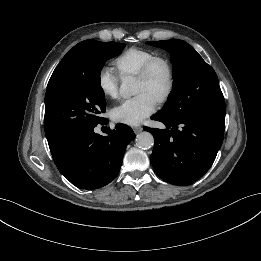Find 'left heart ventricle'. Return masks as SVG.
Wrapping results in <instances>:
<instances>
[{
  "label": "left heart ventricle",
  "instance_id": "left-heart-ventricle-1",
  "mask_svg": "<svg viewBox=\"0 0 261 261\" xmlns=\"http://www.w3.org/2000/svg\"><path fill=\"white\" fill-rule=\"evenodd\" d=\"M167 85V71L163 65H159L149 81L136 80L135 93H147L157 98Z\"/></svg>",
  "mask_w": 261,
  "mask_h": 261
}]
</instances>
